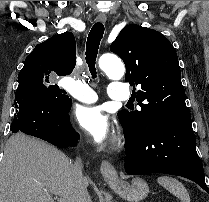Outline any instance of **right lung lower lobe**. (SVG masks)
<instances>
[{"mask_svg": "<svg viewBox=\"0 0 209 202\" xmlns=\"http://www.w3.org/2000/svg\"><path fill=\"white\" fill-rule=\"evenodd\" d=\"M72 101L61 107L45 97L32 84L18 85L15 93L16 113L12 132H23L41 138L58 147L74 146L78 134L70 124L68 112Z\"/></svg>", "mask_w": 209, "mask_h": 202, "instance_id": "98d812e1", "label": "right lung lower lobe"}]
</instances>
